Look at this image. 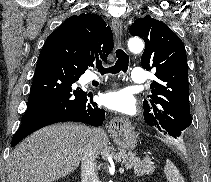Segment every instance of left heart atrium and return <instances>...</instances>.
Segmentation results:
<instances>
[{"label": "left heart atrium", "instance_id": "39dd6f15", "mask_svg": "<svg viewBox=\"0 0 211 182\" xmlns=\"http://www.w3.org/2000/svg\"><path fill=\"white\" fill-rule=\"evenodd\" d=\"M102 101L112 111L127 115L135 112L134 99L126 90L109 92L103 96Z\"/></svg>", "mask_w": 211, "mask_h": 182}]
</instances>
